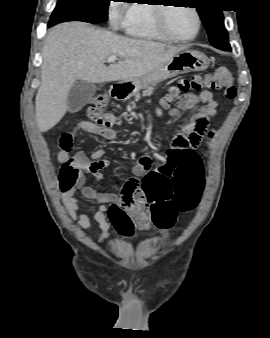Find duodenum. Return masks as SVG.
Here are the masks:
<instances>
[{
	"label": "duodenum",
	"instance_id": "1",
	"mask_svg": "<svg viewBox=\"0 0 270 338\" xmlns=\"http://www.w3.org/2000/svg\"><path fill=\"white\" fill-rule=\"evenodd\" d=\"M126 95V88L124 85H115L109 91V96L114 100H121Z\"/></svg>",
	"mask_w": 270,
	"mask_h": 338
}]
</instances>
